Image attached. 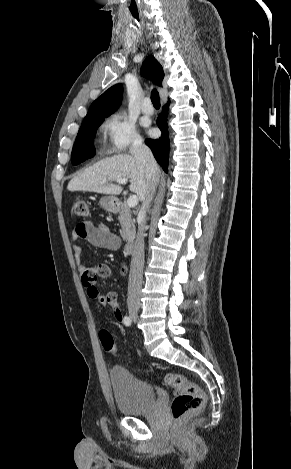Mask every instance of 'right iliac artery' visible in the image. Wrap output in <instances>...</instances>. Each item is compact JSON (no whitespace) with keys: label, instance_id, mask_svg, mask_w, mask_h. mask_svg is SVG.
I'll return each mask as SVG.
<instances>
[{"label":"right iliac artery","instance_id":"right-iliac-artery-1","mask_svg":"<svg viewBox=\"0 0 291 469\" xmlns=\"http://www.w3.org/2000/svg\"><path fill=\"white\" fill-rule=\"evenodd\" d=\"M123 323L126 325V326H130L131 323H132V320L129 316H125L124 319H123Z\"/></svg>","mask_w":291,"mask_h":469}]
</instances>
